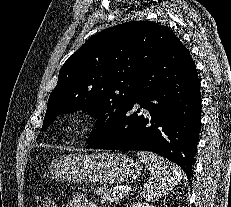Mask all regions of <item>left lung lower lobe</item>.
<instances>
[{"label":"left lung lower lobe","instance_id":"0a47b994","mask_svg":"<svg viewBox=\"0 0 231 207\" xmlns=\"http://www.w3.org/2000/svg\"><path fill=\"white\" fill-rule=\"evenodd\" d=\"M138 87L117 130L88 148L152 151L178 164L190 180L201 122L200 81L178 38L141 74Z\"/></svg>","mask_w":231,"mask_h":207}]
</instances>
